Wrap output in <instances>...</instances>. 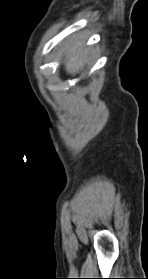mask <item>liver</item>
<instances>
[{"mask_svg":"<svg viewBox=\"0 0 148 279\" xmlns=\"http://www.w3.org/2000/svg\"><path fill=\"white\" fill-rule=\"evenodd\" d=\"M84 41L75 40L68 44L65 52V70L69 74L79 73L88 63V49L83 48Z\"/></svg>","mask_w":148,"mask_h":279,"instance_id":"1","label":"liver"}]
</instances>
